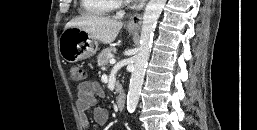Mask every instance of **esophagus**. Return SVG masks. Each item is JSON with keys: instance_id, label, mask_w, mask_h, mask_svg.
I'll list each match as a JSON object with an SVG mask.
<instances>
[{"instance_id": "esophagus-1", "label": "esophagus", "mask_w": 257, "mask_h": 130, "mask_svg": "<svg viewBox=\"0 0 257 130\" xmlns=\"http://www.w3.org/2000/svg\"><path fill=\"white\" fill-rule=\"evenodd\" d=\"M142 23V14H135L127 21V27L131 29H139Z\"/></svg>"}]
</instances>
